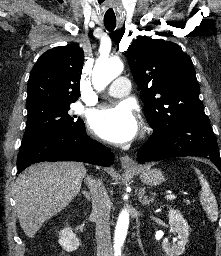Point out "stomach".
Listing matches in <instances>:
<instances>
[{"instance_id": "1", "label": "stomach", "mask_w": 221, "mask_h": 256, "mask_svg": "<svg viewBox=\"0 0 221 256\" xmlns=\"http://www.w3.org/2000/svg\"><path fill=\"white\" fill-rule=\"evenodd\" d=\"M128 170L133 174H139L141 181L146 185L157 186L164 181V176L158 169L139 166L136 168H130Z\"/></svg>"}]
</instances>
